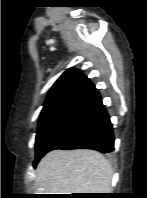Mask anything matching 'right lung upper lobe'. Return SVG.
Segmentation results:
<instances>
[{"label":"right lung upper lobe","mask_w":147,"mask_h":198,"mask_svg":"<svg viewBox=\"0 0 147 198\" xmlns=\"http://www.w3.org/2000/svg\"><path fill=\"white\" fill-rule=\"evenodd\" d=\"M96 90L93 83L77 69H68L50 89L43 108L75 106Z\"/></svg>","instance_id":"1"}]
</instances>
